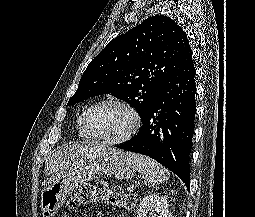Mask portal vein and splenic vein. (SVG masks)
<instances>
[{
  "mask_svg": "<svg viewBox=\"0 0 255 217\" xmlns=\"http://www.w3.org/2000/svg\"><path fill=\"white\" fill-rule=\"evenodd\" d=\"M127 190H128L129 192H133L134 186H133V185H132V186H129V187L127 188Z\"/></svg>",
  "mask_w": 255,
  "mask_h": 217,
  "instance_id": "portal-vein-and-splenic-vein-1",
  "label": "portal vein and splenic vein"
}]
</instances>
